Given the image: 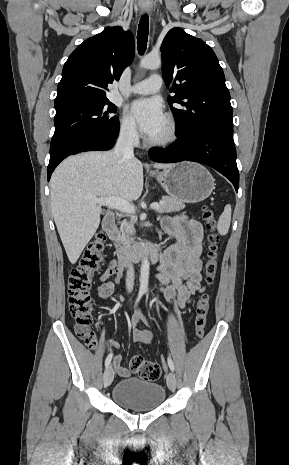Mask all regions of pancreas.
<instances>
[{
    "mask_svg": "<svg viewBox=\"0 0 289 465\" xmlns=\"http://www.w3.org/2000/svg\"><path fill=\"white\" fill-rule=\"evenodd\" d=\"M184 208H185V204L182 203L181 201L173 197L163 196L162 203L160 204V207L156 209V211L158 213L177 212V211H181ZM134 221L135 219L132 218L129 223H123L120 228V231L117 232L116 242L119 246L120 245L128 246L134 242V239L131 237L135 233Z\"/></svg>",
    "mask_w": 289,
    "mask_h": 465,
    "instance_id": "cf45deb5",
    "label": "pancreas"
}]
</instances>
